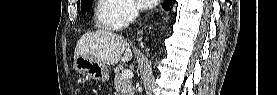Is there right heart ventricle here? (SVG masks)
<instances>
[{
    "label": "right heart ventricle",
    "mask_w": 277,
    "mask_h": 95,
    "mask_svg": "<svg viewBox=\"0 0 277 95\" xmlns=\"http://www.w3.org/2000/svg\"><path fill=\"white\" fill-rule=\"evenodd\" d=\"M123 4L119 0H97L96 26L105 31L121 26L119 11Z\"/></svg>",
    "instance_id": "e07e8e85"
}]
</instances>
